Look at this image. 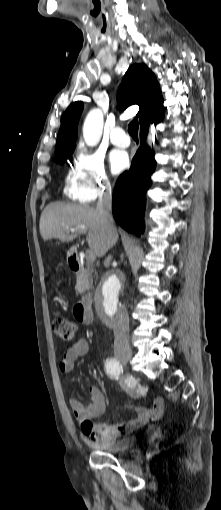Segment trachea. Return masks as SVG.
Listing matches in <instances>:
<instances>
[{"mask_svg":"<svg viewBox=\"0 0 221 510\" xmlns=\"http://www.w3.org/2000/svg\"><path fill=\"white\" fill-rule=\"evenodd\" d=\"M128 132L133 139L138 140V120L134 119L128 125Z\"/></svg>","mask_w":221,"mask_h":510,"instance_id":"3493384b","label":"trachea"}]
</instances>
